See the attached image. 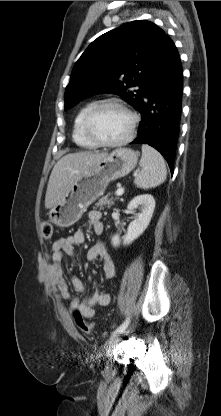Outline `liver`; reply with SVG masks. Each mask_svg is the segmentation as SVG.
Returning a JSON list of instances; mask_svg holds the SVG:
<instances>
[{
	"label": "liver",
	"mask_w": 221,
	"mask_h": 416,
	"mask_svg": "<svg viewBox=\"0 0 221 416\" xmlns=\"http://www.w3.org/2000/svg\"><path fill=\"white\" fill-rule=\"evenodd\" d=\"M107 155V152H77L58 160L49 178L45 208L50 209L58 204L78 177Z\"/></svg>",
	"instance_id": "6515ba94"
}]
</instances>
